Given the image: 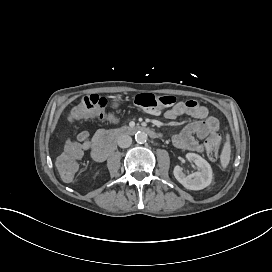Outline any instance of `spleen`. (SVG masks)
<instances>
[{
    "label": "spleen",
    "mask_w": 272,
    "mask_h": 272,
    "mask_svg": "<svg viewBox=\"0 0 272 272\" xmlns=\"http://www.w3.org/2000/svg\"><path fill=\"white\" fill-rule=\"evenodd\" d=\"M230 155H231L230 136L229 134H227L226 142L223 146V149L220 155L221 166L223 169H225L228 166L230 161Z\"/></svg>",
    "instance_id": "spleen-1"
}]
</instances>
